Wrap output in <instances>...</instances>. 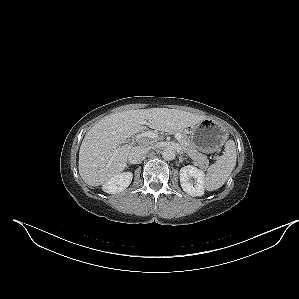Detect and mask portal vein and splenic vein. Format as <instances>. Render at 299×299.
I'll use <instances>...</instances> for the list:
<instances>
[{
    "label": "portal vein and splenic vein",
    "mask_w": 299,
    "mask_h": 299,
    "mask_svg": "<svg viewBox=\"0 0 299 299\" xmlns=\"http://www.w3.org/2000/svg\"><path fill=\"white\" fill-rule=\"evenodd\" d=\"M139 138H142V137H148V138H156L157 137V134L152 132V131H147V132H144L142 134H140L138 136ZM177 140H180L181 139V135L179 133H176L175 136H174Z\"/></svg>",
    "instance_id": "portal-vein-and-splenic-vein-1"
}]
</instances>
